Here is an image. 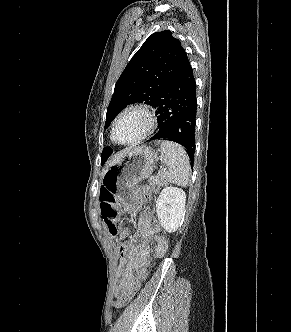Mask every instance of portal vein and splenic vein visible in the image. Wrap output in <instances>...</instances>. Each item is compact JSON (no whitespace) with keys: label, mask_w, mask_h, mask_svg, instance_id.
Masks as SVG:
<instances>
[{"label":"portal vein and splenic vein","mask_w":291,"mask_h":332,"mask_svg":"<svg viewBox=\"0 0 291 332\" xmlns=\"http://www.w3.org/2000/svg\"><path fill=\"white\" fill-rule=\"evenodd\" d=\"M162 172L165 173L166 172V168L162 169Z\"/></svg>","instance_id":"1"}]
</instances>
